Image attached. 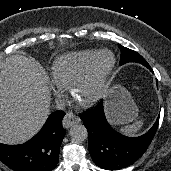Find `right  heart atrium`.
<instances>
[{"label": "right heart atrium", "mask_w": 171, "mask_h": 171, "mask_svg": "<svg viewBox=\"0 0 171 171\" xmlns=\"http://www.w3.org/2000/svg\"><path fill=\"white\" fill-rule=\"evenodd\" d=\"M51 89H52L53 94L57 100H60L63 98V96L65 94V90H66L65 87H63L59 84H55L54 82L51 84Z\"/></svg>", "instance_id": "obj_1"}]
</instances>
